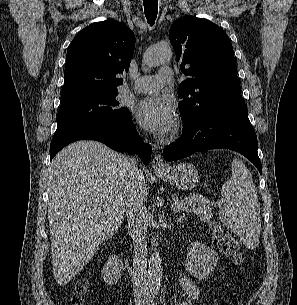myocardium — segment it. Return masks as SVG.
<instances>
[{
  "label": "myocardium",
  "mask_w": 297,
  "mask_h": 305,
  "mask_svg": "<svg viewBox=\"0 0 297 305\" xmlns=\"http://www.w3.org/2000/svg\"><path fill=\"white\" fill-rule=\"evenodd\" d=\"M177 131H178V128H176V129L174 130V134H176V133H177Z\"/></svg>",
  "instance_id": "f54148a6"
}]
</instances>
